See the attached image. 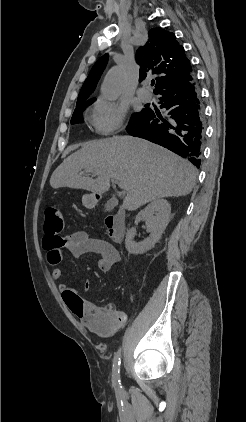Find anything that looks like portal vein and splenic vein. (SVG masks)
Here are the masks:
<instances>
[{
  "mask_svg": "<svg viewBox=\"0 0 246 422\" xmlns=\"http://www.w3.org/2000/svg\"><path fill=\"white\" fill-rule=\"evenodd\" d=\"M115 182L118 184V186H119L121 189H125V184H124V183H122V182H120V181H118V180H116Z\"/></svg>",
  "mask_w": 246,
  "mask_h": 422,
  "instance_id": "portal-vein-and-splenic-vein-1",
  "label": "portal vein and splenic vein"
}]
</instances>
